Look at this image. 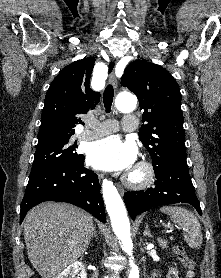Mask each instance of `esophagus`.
Segmentation results:
<instances>
[{"mask_svg":"<svg viewBox=\"0 0 221 278\" xmlns=\"http://www.w3.org/2000/svg\"><path fill=\"white\" fill-rule=\"evenodd\" d=\"M110 67L112 68V71H111V73L109 74V82H110V84H111L114 88H116V87H117V84H118L117 78H116V76H115L116 62L111 63ZM100 178H103V176L100 175ZM119 192H120V194L123 195V194H124V189L119 188Z\"/></svg>","mask_w":221,"mask_h":278,"instance_id":"1","label":"esophagus"}]
</instances>
